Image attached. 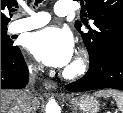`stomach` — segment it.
I'll use <instances>...</instances> for the list:
<instances>
[{
  "label": "stomach",
  "mask_w": 123,
  "mask_h": 113,
  "mask_svg": "<svg viewBox=\"0 0 123 113\" xmlns=\"http://www.w3.org/2000/svg\"><path fill=\"white\" fill-rule=\"evenodd\" d=\"M69 103L83 113H97L100 108L99 101L95 96L81 95L69 98Z\"/></svg>",
  "instance_id": "0dacf381"
}]
</instances>
